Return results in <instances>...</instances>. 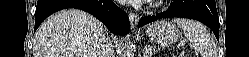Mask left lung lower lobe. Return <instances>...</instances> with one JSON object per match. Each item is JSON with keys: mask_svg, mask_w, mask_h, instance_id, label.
<instances>
[{"mask_svg": "<svg viewBox=\"0 0 249 57\" xmlns=\"http://www.w3.org/2000/svg\"><path fill=\"white\" fill-rule=\"evenodd\" d=\"M168 17L198 20L207 25L213 31L217 40H219V18L215 0H174L163 13L141 18L138 22V27Z\"/></svg>", "mask_w": 249, "mask_h": 57, "instance_id": "left-lung-lower-lobe-1", "label": "left lung lower lobe"}]
</instances>
